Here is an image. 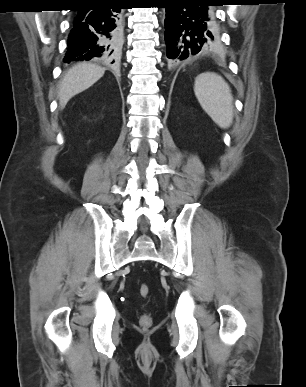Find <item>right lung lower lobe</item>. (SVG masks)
Returning a JSON list of instances; mask_svg holds the SVG:
<instances>
[{"label": "right lung lower lobe", "instance_id": "98d812e1", "mask_svg": "<svg viewBox=\"0 0 306 387\" xmlns=\"http://www.w3.org/2000/svg\"><path fill=\"white\" fill-rule=\"evenodd\" d=\"M75 10L64 62L95 60L114 63L121 40V10L118 1L100 0Z\"/></svg>", "mask_w": 306, "mask_h": 387}]
</instances>
